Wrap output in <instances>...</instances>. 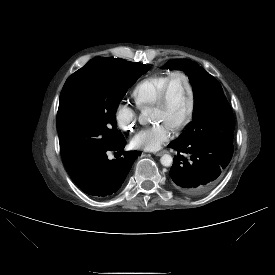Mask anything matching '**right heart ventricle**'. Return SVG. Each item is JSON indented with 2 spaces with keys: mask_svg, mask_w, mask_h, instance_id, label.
I'll return each instance as SVG.
<instances>
[{
  "mask_svg": "<svg viewBox=\"0 0 275 275\" xmlns=\"http://www.w3.org/2000/svg\"><path fill=\"white\" fill-rule=\"evenodd\" d=\"M169 75V73L153 74L135 85L132 97L138 108L143 109L155 104Z\"/></svg>",
  "mask_w": 275,
  "mask_h": 275,
  "instance_id": "obj_1",
  "label": "right heart ventricle"
}]
</instances>
